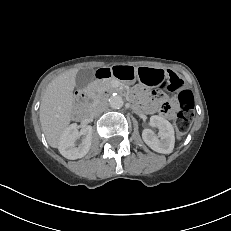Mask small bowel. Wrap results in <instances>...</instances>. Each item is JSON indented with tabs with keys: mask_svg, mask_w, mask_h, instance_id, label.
Listing matches in <instances>:
<instances>
[{
	"mask_svg": "<svg viewBox=\"0 0 231 231\" xmlns=\"http://www.w3.org/2000/svg\"><path fill=\"white\" fill-rule=\"evenodd\" d=\"M170 84V75L167 73H162L160 76V86L161 87H165L168 86ZM163 101H165V99L162 98Z\"/></svg>",
	"mask_w": 231,
	"mask_h": 231,
	"instance_id": "obj_1",
	"label": "small bowel"
}]
</instances>
